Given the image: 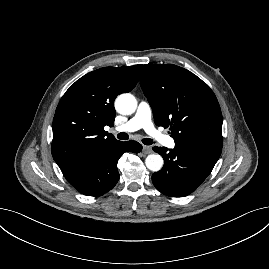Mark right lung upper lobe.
I'll list each match as a JSON object with an SVG mask.
<instances>
[{
	"label": "right lung upper lobe",
	"instance_id": "right-lung-upper-lobe-1",
	"mask_svg": "<svg viewBox=\"0 0 269 269\" xmlns=\"http://www.w3.org/2000/svg\"><path fill=\"white\" fill-rule=\"evenodd\" d=\"M141 67L100 68L81 77L65 92L52 124V156L62 172L118 142L104 126H113L114 100L135 87Z\"/></svg>",
	"mask_w": 269,
	"mask_h": 269
}]
</instances>
